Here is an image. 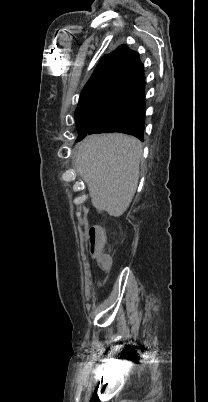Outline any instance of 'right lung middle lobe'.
<instances>
[{
	"instance_id": "obj_1",
	"label": "right lung middle lobe",
	"mask_w": 208,
	"mask_h": 402,
	"mask_svg": "<svg viewBox=\"0 0 208 402\" xmlns=\"http://www.w3.org/2000/svg\"><path fill=\"white\" fill-rule=\"evenodd\" d=\"M101 90H94L80 96L75 117L76 122L80 123L94 117H113L116 118L122 109V99L120 92L113 87ZM79 130V129H78ZM79 137L82 139L87 134V130H79Z\"/></svg>"
}]
</instances>
